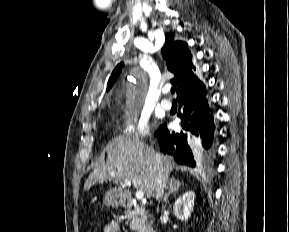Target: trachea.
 Here are the masks:
<instances>
[{"instance_id":"trachea-1","label":"trachea","mask_w":289,"mask_h":232,"mask_svg":"<svg viewBox=\"0 0 289 232\" xmlns=\"http://www.w3.org/2000/svg\"><path fill=\"white\" fill-rule=\"evenodd\" d=\"M175 90H176V88H175V87H172V88H171V93L174 94V93H175Z\"/></svg>"}]
</instances>
